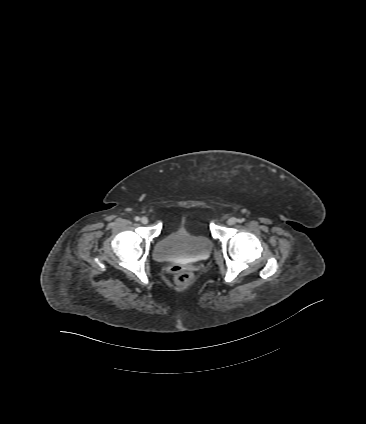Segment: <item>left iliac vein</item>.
Here are the masks:
<instances>
[{
    "instance_id": "1",
    "label": "left iliac vein",
    "mask_w": 366,
    "mask_h": 424,
    "mask_svg": "<svg viewBox=\"0 0 366 424\" xmlns=\"http://www.w3.org/2000/svg\"><path fill=\"white\" fill-rule=\"evenodd\" d=\"M236 222H237V219H236V218H234V217H231V218H229V219L227 220V224H228V225H235V224H236Z\"/></svg>"
}]
</instances>
